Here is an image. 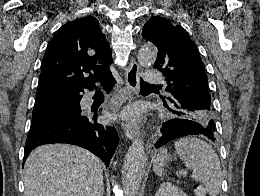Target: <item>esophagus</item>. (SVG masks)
<instances>
[{
	"instance_id": "1",
	"label": "esophagus",
	"mask_w": 260,
	"mask_h": 196,
	"mask_svg": "<svg viewBox=\"0 0 260 196\" xmlns=\"http://www.w3.org/2000/svg\"><path fill=\"white\" fill-rule=\"evenodd\" d=\"M126 84L128 88L134 93L139 87V66L135 60H132L125 72ZM134 99L133 95L129 97V102ZM123 131L125 136L133 140L138 134L139 127L133 121H124L122 123Z\"/></svg>"
}]
</instances>
